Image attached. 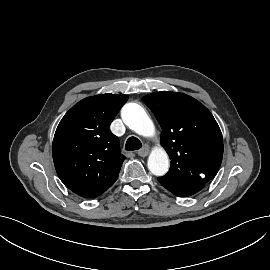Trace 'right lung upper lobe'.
Masks as SVG:
<instances>
[{
	"mask_svg": "<svg viewBox=\"0 0 270 270\" xmlns=\"http://www.w3.org/2000/svg\"><path fill=\"white\" fill-rule=\"evenodd\" d=\"M128 96L100 94L75 104L53 139L55 169L64 185L84 198L96 197L118 178L125 159L109 126Z\"/></svg>",
	"mask_w": 270,
	"mask_h": 270,
	"instance_id": "right-lung-upper-lobe-1",
	"label": "right lung upper lobe"
}]
</instances>
